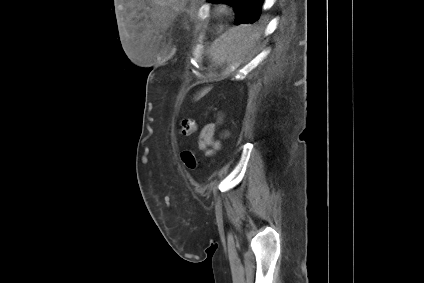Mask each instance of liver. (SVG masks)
I'll use <instances>...</instances> for the list:
<instances>
[{"instance_id":"obj_1","label":"liver","mask_w":424,"mask_h":283,"mask_svg":"<svg viewBox=\"0 0 424 283\" xmlns=\"http://www.w3.org/2000/svg\"><path fill=\"white\" fill-rule=\"evenodd\" d=\"M244 29L243 28H239V29H230L228 30L224 35H223V40L224 41H233V39H240L243 35Z\"/></svg>"}]
</instances>
